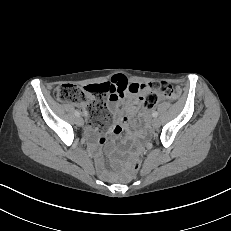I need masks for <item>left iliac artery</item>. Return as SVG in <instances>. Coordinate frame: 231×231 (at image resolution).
<instances>
[{"instance_id": "44dca946", "label": "left iliac artery", "mask_w": 231, "mask_h": 231, "mask_svg": "<svg viewBox=\"0 0 231 231\" xmlns=\"http://www.w3.org/2000/svg\"><path fill=\"white\" fill-rule=\"evenodd\" d=\"M152 116H153V117H157V116H158V113H157L156 111H154V112L152 113Z\"/></svg>"}]
</instances>
